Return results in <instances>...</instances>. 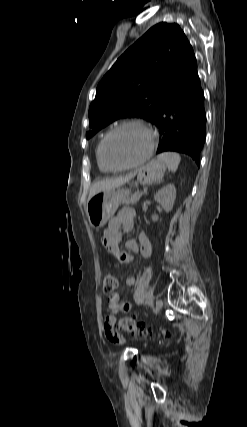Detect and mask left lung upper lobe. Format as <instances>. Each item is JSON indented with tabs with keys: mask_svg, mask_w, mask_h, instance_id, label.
Returning <instances> with one entry per match:
<instances>
[{
	"mask_svg": "<svg viewBox=\"0 0 247 427\" xmlns=\"http://www.w3.org/2000/svg\"><path fill=\"white\" fill-rule=\"evenodd\" d=\"M197 68L193 49L178 24L149 29L115 62L98 84L89 108L92 131L122 117L155 123L170 92L188 81Z\"/></svg>",
	"mask_w": 247,
	"mask_h": 427,
	"instance_id": "5c2ea615",
	"label": "left lung upper lobe"
}]
</instances>
